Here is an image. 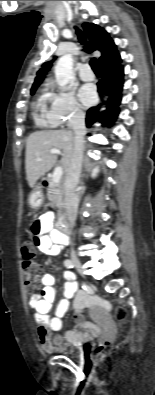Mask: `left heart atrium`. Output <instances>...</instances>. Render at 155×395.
<instances>
[{
  "label": "left heart atrium",
  "instance_id": "obj_1",
  "mask_svg": "<svg viewBox=\"0 0 155 395\" xmlns=\"http://www.w3.org/2000/svg\"><path fill=\"white\" fill-rule=\"evenodd\" d=\"M79 98L83 105H91L96 98V92L92 85H84L79 91Z\"/></svg>",
  "mask_w": 155,
  "mask_h": 395
}]
</instances>
